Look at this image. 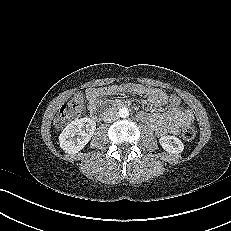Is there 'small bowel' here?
<instances>
[{
  "label": "small bowel",
  "mask_w": 231,
  "mask_h": 231,
  "mask_svg": "<svg viewBox=\"0 0 231 231\" xmlns=\"http://www.w3.org/2000/svg\"><path fill=\"white\" fill-rule=\"evenodd\" d=\"M123 92H132L137 95L146 96L150 106L154 109L167 106V109L161 113H139V117L148 123L159 136L167 134L175 135L180 128L191 125L194 122L193 113L189 109L181 106L174 107L170 105L168 96L164 91L135 84L113 85L105 89H88L86 96L90 113L92 115L95 114L105 96L116 95Z\"/></svg>",
  "instance_id": "small-bowel-1"
}]
</instances>
